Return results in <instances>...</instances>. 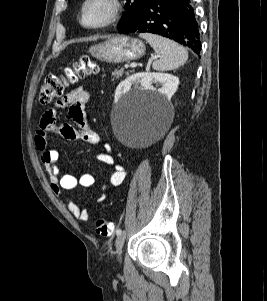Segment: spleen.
I'll list each match as a JSON object with an SVG mask.
<instances>
[{"label": "spleen", "instance_id": "spleen-1", "mask_svg": "<svg viewBox=\"0 0 267 301\" xmlns=\"http://www.w3.org/2000/svg\"><path fill=\"white\" fill-rule=\"evenodd\" d=\"M139 36L145 39L160 56V59L152 65L156 71L177 69L188 59L186 49L170 39L149 33H141Z\"/></svg>", "mask_w": 267, "mask_h": 301}]
</instances>
